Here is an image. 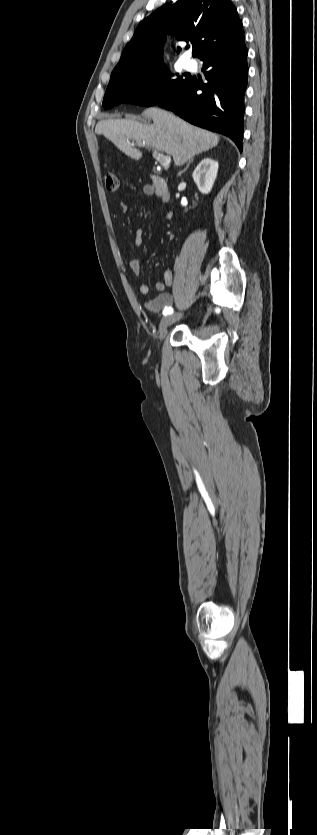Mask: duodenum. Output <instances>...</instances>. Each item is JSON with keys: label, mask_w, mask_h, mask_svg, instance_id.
<instances>
[{"label": "duodenum", "mask_w": 317, "mask_h": 835, "mask_svg": "<svg viewBox=\"0 0 317 835\" xmlns=\"http://www.w3.org/2000/svg\"><path fill=\"white\" fill-rule=\"evenodd\" d=\"M151 185L154 188L156 194L162 201H168L170 198V194L166 185V182L163 178L152 175L151 176Z\"/></svg>", "instance_id": "410a0bca"}]
</instances>
